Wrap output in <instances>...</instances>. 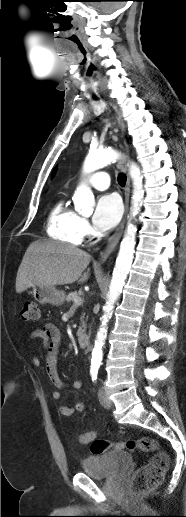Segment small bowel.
I'll return each instance as SVG.
<instances>
[{"label":"small bowel","instance_id":"obj_1","mask_svg":"<svg viewBox=\"0 0 186 517\" xmlns=\"http://www.w3.org/2000/svg\"><path fill=\"white\" fill-rule=\"evenodd\" d=\"M36 339H42L44 347L47 350L46 371L50 381L59 390L66 388L67 384L60 378L57 368L58 353L61 345V331L59 327L51 322L45 323L42 327L29 332L26 341L29 343ZM33 362L35 365H39L38 358H33ZM71 387L73 389H80L82 387V381L79 379L74 380ZM53 398L59 400L61 398L60 391H54ZM59 410L62 415L70 416L75 412L83 411L84 404L78 401L72 406H61ZM92 437H96V433L93 431L87 432L79 437V442L81 444H88L89 439Z\"/></svg>","mask_w":186,"mask_h":517}]
</instances>
